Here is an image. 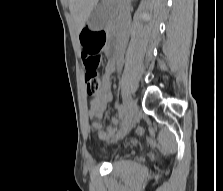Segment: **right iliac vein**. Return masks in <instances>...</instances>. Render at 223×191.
Wrapping results in <instances>:
<instances>
[{
  "mask_svg": "<svg viewBox=\"0 0 223 191\" xmlns=\"http://www.w3.org/2000/svg\"><path fill=\"white\" fill-rule=\"evenodd\" d=\"M124 105L126 108L124 122L114 140L122 138L128 132L132 124V120L136 110V103L129 95L126 94L124 95Z\"/></svg>",
  "mask_w": 223,
  "mask_h": 191,
  "instance_id": "right-iliac-vein-1",
  "label": "right iliac vein"
}]
</instances>
